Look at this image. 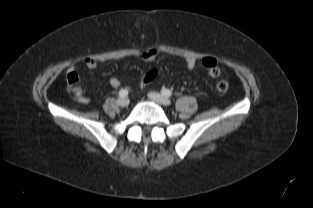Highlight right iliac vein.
<instances>
[{
  "label": "right iliac vein",
  "mask_w": 313,
  "mask_h": 208,
  "mask_svg": "<svg viewBox=\"0 0 313 208\" xmlns=\"http://www.w3.org/2000/svg\"><path fill=\"white\" fill-rule=\"evenodd\" d=\"M117 104L120 106V107H127L129 105V99L126 98V97H120L118 100H117Z\"/></svg>",
  "instance_id": "63e3f726"
}]
</instances>
